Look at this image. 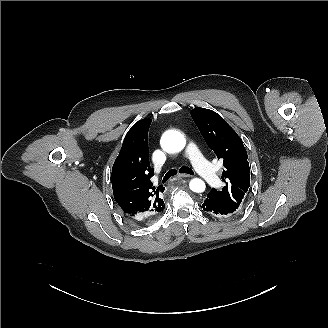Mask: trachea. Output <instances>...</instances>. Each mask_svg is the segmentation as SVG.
I'll use <instances>...</instances> for the list:
<instances>
[{
  "instance_id": "1",
  "label": "trachea",
  "mask_w": 328,
  "mask_h": 328,
  "mask_svg": "<svg viewBox=\"0 0 328 328\" xmlns=\"http://www.w3.org/2000/svg\"><path fill=\"white\" fill-rule=\"evenodd\" d=\"M179 172H180L181 174H191V175L194 174L193 170H192L191 168L187 167V166H182V167L179 169ZM176 174H177V171H176V170H174V169L169 170V171L165 174L162 183H165L170 177L175 176Z\"/></svg>"
}]
</instances>
